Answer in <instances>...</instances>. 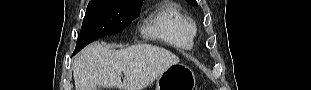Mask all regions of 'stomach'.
I'll return each mask as SVG.
<instances>
[{
    "instance_id": "0dacf381",
    "label": "stomach",
    "mask_w": 311,
    "mask_h": 90,
    "mask_svg": "<svg viewBox=\"0 0 311 90\" xmlns=\"http://www.w3.org/2000/svg\"><path fill=\"white\" fill-rule=\"evenodd\" d=\"M195 83V75L190 68L174 64L157 78L155 90H194Z\"/></svg>"
}]
</instances>
